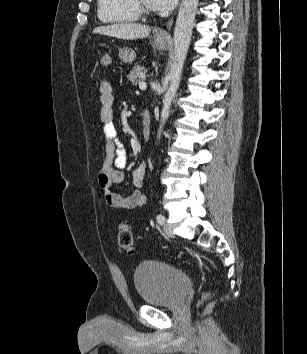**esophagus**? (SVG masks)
<instances>
[{"label":"esophagus","instance_id":"1","mask_svg":"<svg viewBox=\"0 0 307 354\" xmlns=\"http://www.w3.org/2000/svg\"><path fill=\"white\" fill-rule=\"evenodd\" d=\"M172 23H173V18L172 19H170L169 21H168V23H167V28H168V30H170V28H171V26H172ZM166 34L167 33H160L159 35H158V37H160V38H164V37H166Z\"/></svg>","mask_w":307,"mask_h":354}]
</instances>
